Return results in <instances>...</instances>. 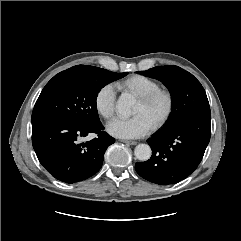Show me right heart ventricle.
<instances>
[{
    "mask_svg": "<svg viewBox=\"0 0 241 241\" xmlns=\"http://www.w3.org/2000/svg\"><path fill=\"white\" fill-rule=\"evenodd\" d=\"M116 87L124 92L141 97L159 88V84L147 76L133 75L116 83Z\"/></svg>",
    "mask_w": 241,
    "mask_h": 241,
    "instance_id": "obj_1",
    "label": "right heart ventricle"
}]
</instances>
